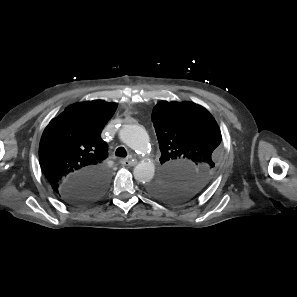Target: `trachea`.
Listing matches in <instances>:
<instances>
[{
	"instance_id": "obj_1",
	"label": "trachea",
	"mask_w": 297,
	"mask_h": 297,
	"mask_svg": "<svg viewBox=\"0 0 297 297\" xmlns=\"http://www.w3.org/2000/svg\"><path fill=\"white\" fill-rule=\"evenodd\" d=\"M115 154H116V156H119V157H126L127 156V152H126L124 147L117 148Z\"/></svg>"
}]
</instances>
